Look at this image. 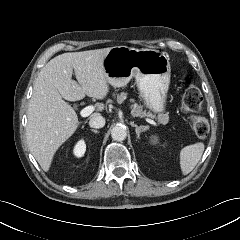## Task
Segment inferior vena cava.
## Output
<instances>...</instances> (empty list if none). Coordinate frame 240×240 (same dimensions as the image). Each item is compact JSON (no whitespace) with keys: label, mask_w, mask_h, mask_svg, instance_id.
<instances>
[{"label":"inferior vena cava","mask_w":240,"mask_h":240,"mask_svg":"<svg viewBox=\"0 0 240 240\" xmlns=\"http://www.w3.org/2000/svg\"><path fill=\"white\" fill-rule=\"evenodd\" d=\"M89 125L92 128H102L105 125V118L101 115H94L89 121Z\"/></svg>","instance_id":"obj_1"}]
</instances>
